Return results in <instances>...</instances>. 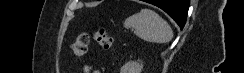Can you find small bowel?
I'll use <instances>...</instances> for the list:
<instances>
[{
	"mask_svg": "<svg viewBox=\"0 0 244 73\" xmlns=\"http://www.w3.org/2000/svg\"><path fill=\"white\" fill-rule=\"evenodd\" d=\"M90 70H91V68H90L89 66H85V67L83 68V72H84V73H89ZM95 73H99V72H98V71H95Z\"/></svg>",
	"mask_w": 244,
	"mask_h": 73,
	"instance_id": "c3829d8e",
	"label": "small bowel"
}]
</instances>
